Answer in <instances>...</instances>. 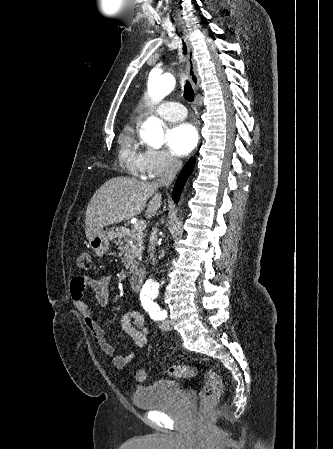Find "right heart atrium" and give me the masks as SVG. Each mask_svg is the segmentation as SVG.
<instances>
[{
  "instance_id": "d8ad5b80",
  "label": "right heart atrium",
  "mask_w": 333,
  "mask_h": 449,
  "mask_svg": "<svg viewBox=\"0 0 333 449\" xmlns=\"http://www.w3.org/2000/svg\"><path fill=\"white\" fill-rule=\"evenodd\" d=\"M139 166L142 176L154 179L177 171L180 161L167 150L149 148L140 153Z\"/></svg>"
}]
</instances>
